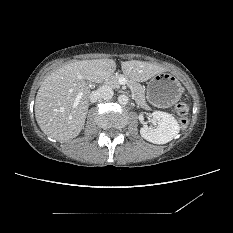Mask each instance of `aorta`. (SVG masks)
<instances>
[{
    "label": "aorta",
    "mask_w": 233,
    "mask_h": 233,
    "mask_svg": "<svg viewBox=\"0 0 233 233\" xmlns=\"http://www.w3.org/2000/svg\"><path fill=\"white\" fill-rule=\"evenodd\" d=\"M129 101V98L128 96L122 94V95H119L118 96V102L121 104V105H126Z\"/></svg>",
    "instance_id": "aorta-1"
}]
</instances>
